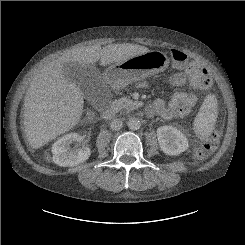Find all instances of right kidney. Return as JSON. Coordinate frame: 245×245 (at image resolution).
<instances>
[{
  "label": "right kidney",
  "mask_w": 245,
  "mask_h": 245,
  "mask_svg": "<svg viewBox=\"0 0 245 245\" xmlns=\"http://www.w3.org/2000/svg\"><path fill=\"white\" fill-rule=\"evenodd\" d=\"M78 133H70L59 138L52 146L53 161L59 166H75L86 161L91 154L88 147L73 148L70 145L75 141H80Z\"/></svg>",
  "instance_id": "obj_1"
}]
</instances>
